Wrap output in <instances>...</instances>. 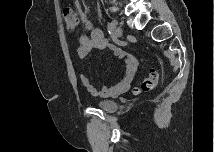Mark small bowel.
I'll return each mask as SVG.
<instances>
[{"label":"small bowel","instance_id":"c3829d8e","mask_svg":"<svg viewBox=\"0 0 215 152\" xmlns=\"http://www.w3.org/2000/svg\"><path fill=\"white\" fill-rule=\"evenodd\" d=\"M78 8L80 18L86 27V29L90 30L89 35H82L79 38L77 55L80 59H84L88 56L90 51L93 48L99 50H109L115 56L118 57L120 61L125 64V70L122 79L113 86L103 87L101 89L93 86L86 75L83 73L80 74V81L84 88L90 92L92 95L101 96V97H115L124 94L128 88L130 87L136 70L138 66L137 59L131 53H128L122 50L119 47L111 44L105 37L103 32L100 29H92L91 22L87 13L82 9V6L79 2L76 3Z\"/></svg>","mask_w":215,"mask_h":152}]
</instances>
